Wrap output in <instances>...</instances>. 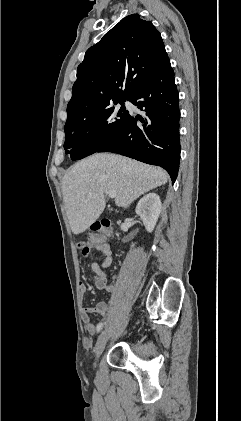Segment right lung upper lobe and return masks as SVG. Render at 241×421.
Segmentation results:
<instances>
[{"label":"right lung upper lobe","mask_w":241,"mask_h":421,"mask_svg":"<svg viewBox=\"0 0 241 421\" xmlns=\"http://www.w3.org/2000/svg\"><path fill=\"white\" fill-rule=\"evenodd\" d=\"M166 57L152 22L138 14L123 18L86 51L78 66L65 127L129 99Z\"/></svg>","instance_id":"obj_1"}]
</instances>
